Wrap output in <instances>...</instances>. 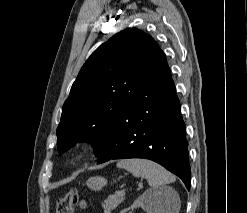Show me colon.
Returning a JSON list of instances; mask_svg holds the SVG:
<instances>
[{
  "label": "colon",
  "instance_id": "colon-1",
  "mask_svg": "<svg viewBox=\"0 0 247 213\" xmlns=\"http://www.w3.org/2000/svg\"><path fill=\"white\" fill-rule=\"evenodd\" d=\"M83 206H85V201L76 190H71L57 201L55 213H74L76 207Z\"/></svg>",
  "mask_w": 247,
  "mask_h": 213
}]
</instances>
